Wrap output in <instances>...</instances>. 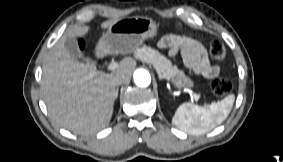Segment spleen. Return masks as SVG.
Wrapping results in <instances>:
<instances>
[{
  "label": "spleen",
  "instance_id": "3e777b00",
  "mask_svg": "<svg viewBox=\"0 0 283 162\" xmlns=\"http://www.w3.org/2000/svg\"><path fill=\"white\" fill-rule=\"evenodd\" d=\"M234 101L235 95L230 94L223 100L207 107L183 103L177 108L172 123L189 134H204L226 120L232 110Z\"/></svg>",
  "mask_w": 283,
  "mask_h": 162
}]
</instances>
